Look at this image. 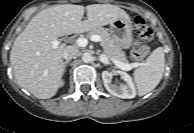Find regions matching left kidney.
Listing matches in <instances>:
<instances>
[{
  "instance_id": "5707ae66",
  "label": "left kidney",
  "mask_w": 194,
  "mask_h": 133,
  "mask_svg": "<svg viewBox=\"0 0 194 133\" xmlns=\"http://www.w3.org/2000/svg\"><path fill=\"white\" fill-rule=\"evenodd\" d=\"M118 74L125 82L124 84H120V85L113 84L111 79L114 73L109 71L102 72V79L106 90L113 96H116L119 98H123V99L134 98L136 96V90L130 75L123 71L118 72Z\"/></svg>"
}]
</instances>
